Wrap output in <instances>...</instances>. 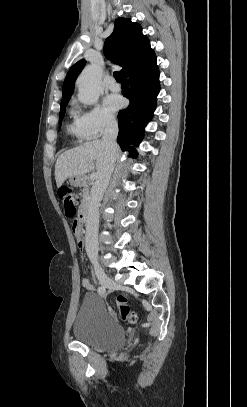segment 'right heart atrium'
I'll list each match as a JSON object with an SVG mask.
<instances>
[{
	"mask_svg": "<svg viewBox=\"0 0 247 407\" xmlns=\"http://www.w3.org/2000/svg\"><path fill=\"white\" fill-rule=\"evenodd\" d=\"M78 122L87 139H95L116 124L115 118L99 104L78 112Z\"/></svg>",
	"mask_w": 247,
	"mask_h": 407,
	"instance_id": "obj_1",
	"label": "right heart atrium"
}]
</instances>
